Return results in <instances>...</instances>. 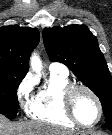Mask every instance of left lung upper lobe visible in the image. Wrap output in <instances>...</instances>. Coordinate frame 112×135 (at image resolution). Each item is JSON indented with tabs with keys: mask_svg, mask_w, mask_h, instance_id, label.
<instances>
[{
	"mask_svg": "<svg viewBox=\"0 0 112 135\" xmlns=\"http://www.w3.org/2000/svg\"><path fill=\"white\" fill-rule=\"evenodd\" d=\"M52 61L65 64L100 99L105 122L112 120V76L97 38L86 25L45 28L42 32Z\"/></svg>",
	"mask_w": 112,
	"mask_h": 135,
	"instance_id": "1",
	"label": "left lung upper lobe"
}]
</instances>
